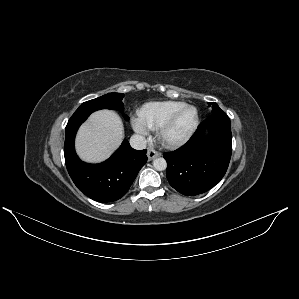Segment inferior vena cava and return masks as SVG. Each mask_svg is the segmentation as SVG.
Returning <instances> with one entry per match:
<instances>
[{
	"mask_svg": "<svg viewBox=\"0 0 299 299\" xmlns=\"http://www.w3.org/2000/svg\"><path fill=\"white\" fill-rule=\"evenodd\" d=\"M130 145L134 149L142 150L146 148L147 140L144 136L135 134L130 138Z\"/></svg>",
	"mask_w": 299,
	"mask_h": 299,
	"instance_id": "602c4592",
	"label": "inferior vena cava"
}]
</instances>
